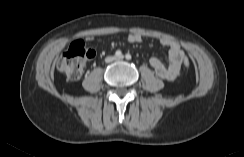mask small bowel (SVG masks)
<instances>
[{
    "mask_svg": "<svg viewBox=\"0 0 244 157\" xmlns=\"http://www.w3.org/2000/svg\"><path fill=\"white\" fill-rule=\"evenodd\" d=\"M126 38L130 43H140L142 41V36L134 33L127 34ZM88 40L91 41L92 37H88ZM160 44L169 50L168 63H163L157 57L150 58L149 63L157 77L170 81L175 80L180 75L185 54L180 45L169 37L161 38Z\"/></svg>",
    "mask_w": 244,
    "mask_h": 157,
    "instance_id": "1",
    "label": "small bowel"
}]
</instances>
